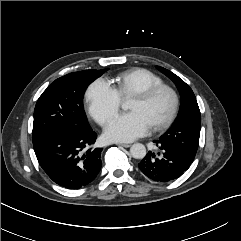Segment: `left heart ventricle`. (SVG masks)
<instances>
[{
	"instance_id": "1",
	"label": "left heart ventricle",
	"mask_w": 241,
	"mask_h": 241,
	"mask_svg": "<svg viewBox=\"0 0 241 241\" xmlns=\"http://www.w3.org/2000/svg\"><path fill=\"white\" fill-rule=\"evenodd\" d=\"M172 98L166 91L158 93L150 101L133 98L129 103V110L143 114L151 126L165 120L171 110Z\"/></svg>"
}]
</instances>
